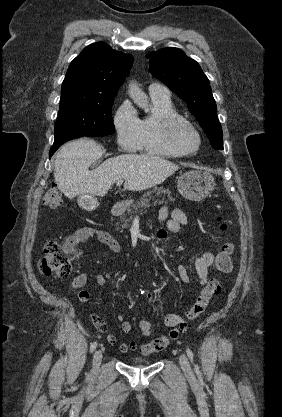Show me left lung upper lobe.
I'll use <instances>...</instances> for the list:
<instances>
[{"mask_svg": "<svg viewBox=\"0 0 282 417\" xmlns=\"http://www.w3.org/2000/svg\"><path fill=\"white\" fill-rule=\"evenodd\" d=\"M152 75L165 83L188 104V109L210 139L214 149L223 150L222 128L211 86L199 64L178 48H163L146 55Z\"/></svg>", "mask_w": 282, "mask_h": 417, "instance_id": "left-lung-upper-lobe-1", "label": "left lung upper lobe"}]
</instances>
